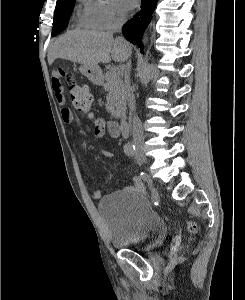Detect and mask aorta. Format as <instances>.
Here are the masks:
<instances>
[{
  "mask_svg": "<svg viewBox=\"0 0 245 300\" xmlns=\"http://www.w3.org/2000/svg\"><path fill=\"white\" fill-rule=\"evenodd\" d=\"M147 42V39H144V43H146Z\"/></svg>",
  "mask_w": 245,
  "mask_h": 300,
  "instance_id": "aorta-1",
  "label": "aorta"
}]
</instances>
